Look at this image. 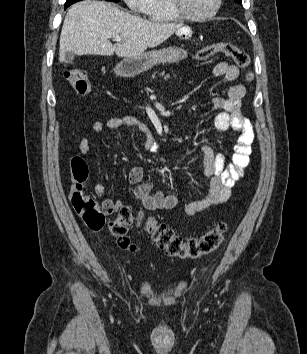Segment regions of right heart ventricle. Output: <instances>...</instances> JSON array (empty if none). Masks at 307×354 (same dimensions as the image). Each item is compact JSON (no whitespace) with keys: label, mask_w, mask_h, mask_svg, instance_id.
I'll return each mask as SVG.
<instances>
[{"label":"right heart ventricle","mask_w":307,"mask_h":354,"mask_svg":"<svg viewBox=\"0 0 307 354\" xmlns=\"http://www.w3.org/2000/svg\"><path fill=\"white\" fill-rule=\"evenodd\" d=\"M145 14L151 21L167 23L180 18L174 13L169 0H150Z\"/></svg>","instance_id":"obj_1"}]
</instances>
